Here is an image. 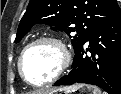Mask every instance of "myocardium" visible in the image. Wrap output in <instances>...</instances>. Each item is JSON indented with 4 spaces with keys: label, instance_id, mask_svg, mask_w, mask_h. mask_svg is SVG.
Instances as JSON below:
<instances>
[{
    "label": "myocardium",
    "instance_id": "f54148a6",
    "mask_svg": "<svg viewBox=\"0 0 121 94\" xmlns=\"http://www.w3.org/2000/svg\"><path fill=\"white\" fill-rule=\"evenodd\" d=\"M43 43H47V44H51L53 46H55L59 52V56H60V60L57 66V69L55 70L54 74L47 79L46 81H43L41 83H33L31 81L28 80V78L25 76L24 71H23V59L26 55V53L33 48L34 46H37L39 44H43ZM71 62V53L69 51V49L67 48V46L62 42V40H60L57 37L54 36H41L33 41H31L30 43H28L21 51L18 61H17V69L19 72V75L21 76V78L23 79V81L25 83H27L30 86L33 87H43V86H47L49 84L54 83L55 81H57L59 78H61L63 76V74L66 72V70L68 69L69 65Z\"/></svg>",
    "mask_w": 121,
    "mask_h": 94
}]
</instances>
